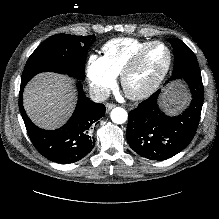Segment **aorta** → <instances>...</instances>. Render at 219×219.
<instances>
[{
	"label": "aorta",
	"mask_w": 219,
	"mask_h": 219,
	"mask_svg": "<svg viewBox=\"0 0 219 219\" xmlns=\"http://www.w3.org/2000/svg\"><path fill=\"white\" fill-rule=\"evenodd\" d=\"M111 120L116 124H123L128 119L127 111L122 107L112 109L110 113Z\"/></svg>",
	"instance_id": "aorta-1"
}]
</instances>
